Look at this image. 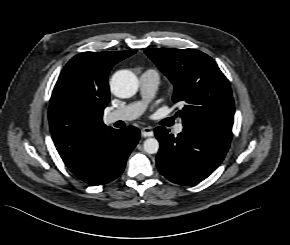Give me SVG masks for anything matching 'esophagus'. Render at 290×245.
Returning <instances> with one entry per match:
<instances>
[{"instance_id":"1","label":"esophagus","mask_w":290,"mask_h":245,"mask_svg":"<svg viewBox=\"0 0 290 245\" xmlns=\"http://www.w3.org/2000/svg\"><path fill=\"white\" fill-rule=\"evenodd\" d=\"M153 130L150 128V127H143L142 129H141V135L143 136V137H151V136H153Z\"/></svg>"}]
</instances>
